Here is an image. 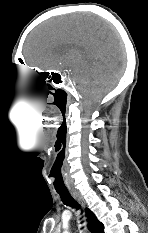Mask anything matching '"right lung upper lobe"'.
Returning <instances> with one entry per match:
<instances>
[{
  "label": "right lung upper lobe",
  "instance_id": "right-lung-upper-lobe-1",
  "mask_svg": "<svg viewBox=\"0 0 148 233\" xmlns=\"http://www.w3.org/2000/svg\"><path fill=\"white\" fill-rule=\"evenodd\" d=\"M86 216L89 221V229L92 233H104V225L98 221L93 212L89 209H85Z\"/></svg>",
  "mask_w": 148,
  "mask_h": 233
}]
</instances>
